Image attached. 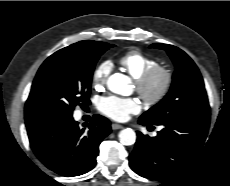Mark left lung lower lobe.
<instances>
[{
  "label": "left lung lower lobe",
  "mask_w": 230,
  "mask_h": 186,
  "mask_svg": "<svg viewBox=\"0 0 230 186\" xmlns=\"http://www.w3.org/2000/svg\"><path fill=\"white\" fill-rule=\"evenodd\" d=\"M210 117H185L162 124L164 128L150 138L137 132L129 164L142 177L165 180L173 177L194 158L207 136ZM139 123L152 125L139 119Z\"/></svg>",
  "instance_id": "left-lung-lower-lobe-1"
}]
</instances>
